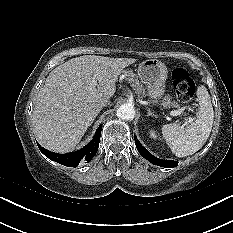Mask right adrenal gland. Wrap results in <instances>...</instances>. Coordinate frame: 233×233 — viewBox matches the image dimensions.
Segmentation results:
<instances>
[{
	"label": "right adrenal gland",
	"instance_id": "right-adrenal-gland-1",
	"mask_svg": "<svg viewBox=\"0 0 233 233\" xmlns=\"http://www.w3.org/2000/svg\"><path fill=\"white\" fill-rule=\"evenodd\" d=\"M101 111V108L97 109L96 112H95V115H94V118L92 119L90 125H92V123L94 122L96 116L98 115V113Z\"/></svg>",
	"mask_w": 233,
	"mask_h": 233
}]
</instances>
